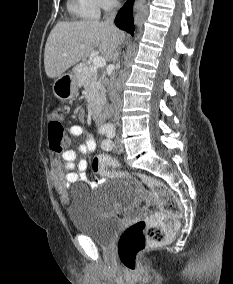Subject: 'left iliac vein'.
<instances>
[{"instance_id": "obj_1", "label": "left iliac vein", "mask_w": 233, "mask_h": 284, "mask_svg": "<svg viewBox=\"0 0 233 284\" xmlns=\"http://www.w3.org/2000/svg\"><path fill=\"white\" fill-rule=\"evenodd\" d=\"M113 150L116 153H122L124 151V146L120 140V138H116L113 144Z\"/></svg>"}]
</instances>
